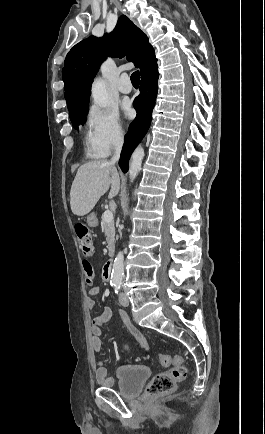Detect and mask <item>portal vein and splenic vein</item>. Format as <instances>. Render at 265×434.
Here are the masks:
<instances>
[{
	"instance_id": "portal-vein-and-splenic-vein-1",
	"label": "portal vein and splenic vein",
	"mask_w": 265,
	"mask_h": 434,
	"mask_svg": "<svg viewBox=\"0 0 265 434\" xmlns=\"http://www.w3.org/2000/svg\"><path fill=\"white\" fill-rule=\"evenodd\" d=\"M104 222H112L114 220L112 212L110 210H106L102 216Z\"/></svg>"
}]
</instances>
